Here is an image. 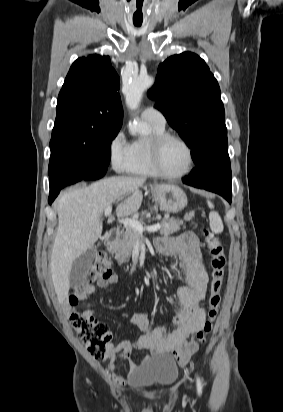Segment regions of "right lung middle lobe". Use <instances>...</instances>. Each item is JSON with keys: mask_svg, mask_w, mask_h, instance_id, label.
Listing matches in <instances>:
<instances>
[{"mask_svg": "<svg viewBox=\"0 0 283 412\" xmlns=\"http://www.w3.org/2000/svg\"><path fill=\"white\" fill-rule=\"evenodd\" d=\"M118 132L97 130L77 117L56 119L50 141L49 176L99 164L108 165L111 142Z\"/></svg>", "mask_w": 283, "mask_h": 412, "instance_id": "right-lung-middle-lobe-1", "label": "right lung middle lobe"}]
</instances>
